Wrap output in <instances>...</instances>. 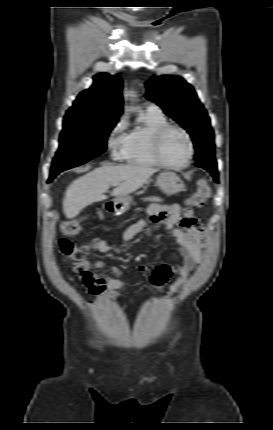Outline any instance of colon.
Returning a JSON list of instances; mask_svg holds the SVG:
<instances>
[{
	"mask_svg": "<svg viewBox=\"0 0 273 430\" xmlns=\"http://www.w3.org/2000/svg\"><path fill=\"white\" fill-rule=\"evenodd\" d=\"M210 196V188L206 181L200 180L198 183V189L187 198V205L189 208H200L204 205ZM189 210V209H188ZM81 220L73 219L67 221L62 226V232L67 237H72L78 234L81 230ZM59 252L67 259L81 263L86 258L89 251V246L74 245L68 238H62L57 243ZM88 288V287H87ZM91 292V291H90Z\"/></svg>",
	"mask_w": 273,
	"mask_h": 430,
	"instance_id": "colon-1",
	"label": "colon"
}]
</instances>
